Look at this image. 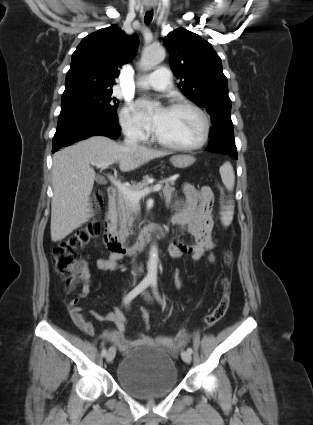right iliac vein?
<instances>
[{"label":"right iliac vein","instance_id":"right-iliac-vein-1","mask_svg":"<svg viewBox=\"0 0 313 425\" xmlns=\"http://www.w3.org/2000/svg\"><path fill=\"white\" fill-rule=\"evenodd\" d=\"M116 349L115 347H110L108 353L106 354V361L111 362L115 357Z\"/></svg>","mask_w":313,"mask_h":425}]
</instances>
